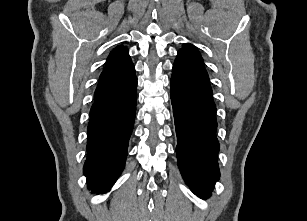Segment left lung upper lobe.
Returning <instances> with one entry per match:
<instances>
[{
    "mask_svg": "<svg viewBox=\"0 0 307 221\" xmlns=\"http://www.w3.org/2000/svg\"><path fill=\"white\" fill-rule=\"evenodd\" d=\"M179 51L188 54L190 57H192L193 59H195L196 61H198L203 65L202 57L194 45L184 44L182 49H180Z\"/></svg>",
    "mask_w": 307,
    "mask_h": 221,
    "instance_id": "5c2ea615",
    "label": "left lung upper lobe"
}]
</instances>
